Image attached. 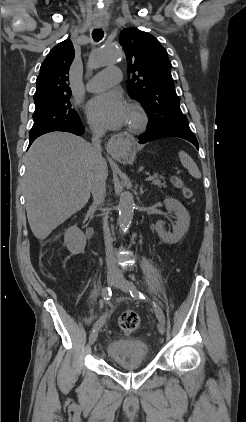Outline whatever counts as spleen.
Masks as SVG:
<instances>
[{"instance_id": "1", "label": "spleen", "mask_w": 246, "mask_h": 422, "mask_svg": "<svg viewBox=\"0 0 246 422\" xmlns=\"http://www.w3.org/2000/svg\"><path fill=\"white\" fill-rule=\"evenodd\" d=\"M178 155L182 165L189 171L190 175L196 179H200L201 172L193 159L184 151H179Z\"/></svg>"}]
</instances>
